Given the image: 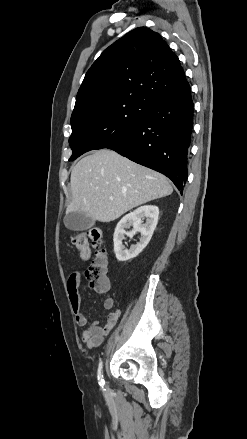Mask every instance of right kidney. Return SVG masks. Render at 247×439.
I'll use <instances>...</instances> for the list:
<instances>
[{
	"label": "right kidney",
	"instance_id": "obj_1",
	"mask_svg": "<svg viewBox=\"0 0 247 439\" xmlns=\"http://www.w3.org/2000/svg\"><path fill=\"white\" fill-rule=\"evenodd\" d=\"M159 216V208L154 205L141 206L125 215L117 224L114 232V252L118 261L124 262L130 260L147 246L153 232L156 228ZM146 218V222L143 220ZM131 231H126L130 229ZM137 232L141 233L140 241L136 245H132L130 249H125L122 241L125 239V235L132 238Z\"/></svg>",
	"mask_w": 247,
	"mask_h": 439
}]
</instances>
